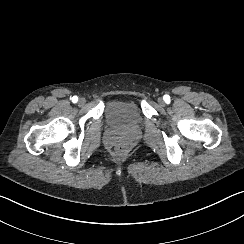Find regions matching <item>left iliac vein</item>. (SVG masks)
<instances>
[{"instance_id": "left-iliac-vein-1", "label": "left iliac vein", "mask_w": 244, "mask_h": 244, "mask_svg": "<svg viewBox=\"0 0 244 244\" xmlns=\"http://www.w3.org/2000/svg\"><path fill=\"white\" fill-rule=\"evenodd\" d=\"M158 104L160 105V106H165V101H164V99H162V98H159L158 99Z\"/></svg>"}]
</instances>
